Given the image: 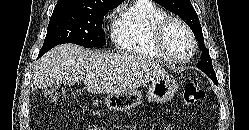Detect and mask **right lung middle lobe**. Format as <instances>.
Here are the masks:
<instances>
[{
  "label": "right lung middle lobe",
  "instance_id": "dd1d6c3e",
  "mask_svg": "<svg viewBox=\"0 0 249 130\" xmlns=\"http://www.w3.org/2000/svg\"><path fill=\"white\" fill-rule=\"evenodd\" d=\"M115 7L108 6L92 10L55 6L39 57L63 43H73L88 48L103 47L106 40L102 22L108 11Z\"/></svg>",
  "mask_w": 249,
  "mask_h": 130
}]
</instances>
